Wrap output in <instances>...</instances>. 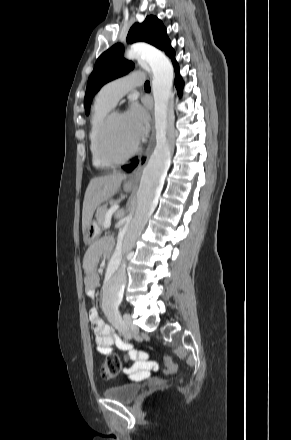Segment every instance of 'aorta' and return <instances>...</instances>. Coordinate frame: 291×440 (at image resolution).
I'll use <instances>...</instances> for the list:
<instances>
[{
  "label": "aorta",
  "mask_w": 291,
  "mask_h": 440,
  "mask_svg": "<svg viewBox=\"0 0 291 440\" xmlns=\"http://www.w3.org/2000/svg\"><path fill=\"white\" fill-rule=\"evenodd\" d=\"M128 60L145 61L152 72L156 146L142 172L136 206L117 243L114 267L103 286V300L117 305L124 293L126 270L124 255L130 252L148 218L154 211L171 163L172 146L168 139L170 103L173 99V66L165 54L146 44H135L126 52Z\"/></svg>",
  "instance_id": "obj_1"
}]
</instances>
